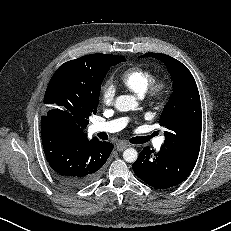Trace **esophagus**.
I'll return each mask as SVG.
<instances>
[{"label": "esophagus", "mask_w": 231, "mask_h": 231, "mask_svg": "<svg viewBox=\"0 0 231 231\" xmlns=\"http://www.w3.org/2000/svg\"><path fill=\"white\" fill-rule=\"evenodd\" d=\"M129 145L125 144V143H118L117 146H116V149L118 151H123L125 150Z\"/></svg>", "instance_id": "esophagus-1"}]
</instances>
